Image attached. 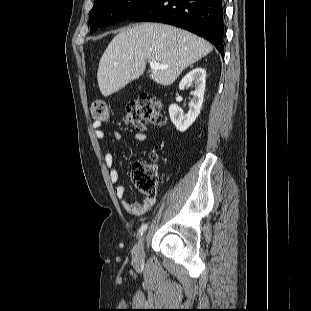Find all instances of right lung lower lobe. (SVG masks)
<instances>
[{
	"mask_svg": "<svg viewBox=\"0 0 311 311\" xmlns=\"http://www.w3.org/2000/svg\"><path fill=\"white\" fill-rule=\"evenodd\" d=\"M129 19L171 24L195 33L224 55L222 0H156Z\"/></svg>",
	"mask_w": 311,
	"mask_h": 311,
	"instance_id": "1",
	"label": "right lung lower lobe"
}]
</instances>
